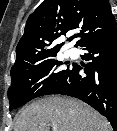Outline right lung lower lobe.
Wrapping results in <instances>:
<instances>
[{
    "mask_svg": "<svg viewBox=\"0 0 117 131\" xmlns=\"http://www.w3.org/2000/svg\"><path fill=\"white\" fill-rule=\"evenodd\" d=\"M81 48L87 65L73 64L61 87L51 94L78 98L102 115L117 131V28L91 40ZM84 70V75L79 71Z\"/></svg>",
    "mask_w": 117,
    "mask_h": 131,
    "instance_id": "obj_1",
    "label": "right lung lower lobe"
}]
</instances>
